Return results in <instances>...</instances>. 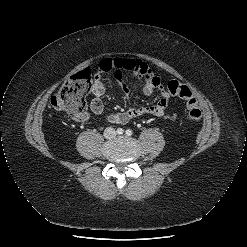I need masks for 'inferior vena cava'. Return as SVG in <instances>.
<instances>
[{"label":"inferior vena cava","instance_id":"1","mask_svg":"<svg viewBox=\"0 0 247 247\" xmlns=\"http://www.w3.org/2000/svg\"><path fill=\"white\" fill-rule=\"evenodd\" d=\"M116 136V131L114 128L112 127H107L104 130V137L105 138H114Z\"/></svg>","mask_w":247,"mask_h":247}]
</instances>
